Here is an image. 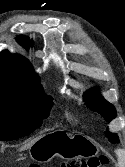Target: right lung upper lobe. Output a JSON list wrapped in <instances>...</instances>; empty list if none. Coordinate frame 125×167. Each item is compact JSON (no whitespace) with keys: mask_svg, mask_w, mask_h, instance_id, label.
Wrapping results in <instances>:
<instances>
[{"mask_svg":"<svg viewBox=\"0 0 125 167\" xmlns=\"http://www.w3.org/2000/svg\"><path fill=\"white\" fill-rule=\"evenodd\" d=\"M17 41L23 47L30 46L28 37L19 36ZM43 92L39 76L30 62L19 54L8 51L0 53V94L18 98L37 96Z\"/></svg>","mask_w":125,"mask_h":167,"instance_id":"obj_1","label":"right lung upper lobe"}]
</instances>
